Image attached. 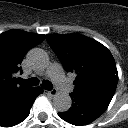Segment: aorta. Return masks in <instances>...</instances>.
<instances>
[{
  "label": "aorta",
  "mask_w": 128,
  "mask_h": 128,
  "mask_svg": "<svg viewBox=\"0 0 128 128\" xmlns=\"http://www.w3.org/2000/svg\"><path fill=\"white\" fill-rule=\"evenodd\" d=\"M29 62L37 67L46 66L48 59L46 53L39 48H34L29 51L27 55ZM72 105V100L69 94L67 93H57L53 98V106L59 112H67Z\"/></svg>",
  "instance_id": "1"
}]
</instances>
